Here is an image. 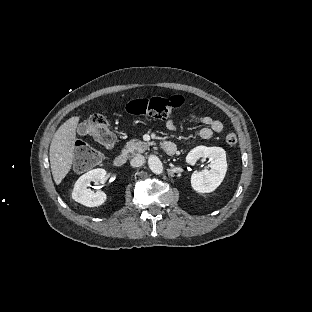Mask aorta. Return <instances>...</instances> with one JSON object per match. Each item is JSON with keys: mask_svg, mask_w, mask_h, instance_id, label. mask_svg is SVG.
Here are the masks:
<instances>
[{"mask_svg": "<svg viewBox=\"0 0 312 312\" xmlns=\"http://www.w3.org/2000/svg\"><path fill=\"white\" fill-rule=\"evenodd\" d=\"M149 167L156 175H161L163 173V164L157 157L149 158Z\"/></svg>", "mask_w": 312, "mask_h": 312, "instance_id": "obj_1", "label": "aorta"}]
</instances>
